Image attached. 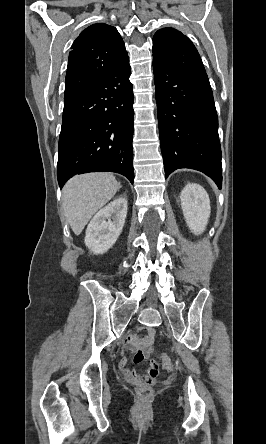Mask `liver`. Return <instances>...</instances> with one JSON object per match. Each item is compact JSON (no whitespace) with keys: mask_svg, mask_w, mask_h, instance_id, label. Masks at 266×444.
<instances>
[{"mask_svg":"<svg viewBox=\"0 0 266 444\" xmlns=\"http://www.w3.org/2000/svg\"><path fill=\"white\" fill-rule=\"evenodd\" d=\"M120 188L109 173H89L71 178L63 188L62 208L75 235L108 203Z\"/></svg>","mask_w":266,"mask_h":444,"instance_id":"1","label":"liver"}]
</instances>
